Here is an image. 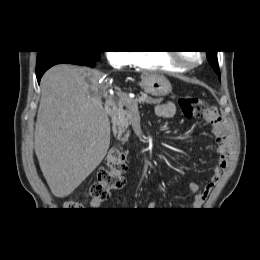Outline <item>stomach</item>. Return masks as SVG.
Returning <instances> with one entry per match:
<instances>
[{
    "instance_id": "0dacf381",
    "label": "stomach",
    "mask_w": 260,
    "mask_h": 260,
    "mask_svg": "<svg viewBox=\"0 0 260 260\" xmlns=\"http://www.w3.org/2000/svg\"><path fill=\"white\" fill-rule=\"evenodd\" d=\"M140 86L145 93L157 97L166 96L172 91L170 81L162 75H144L141 77Z\"/></svg>"
}]
</instances>
